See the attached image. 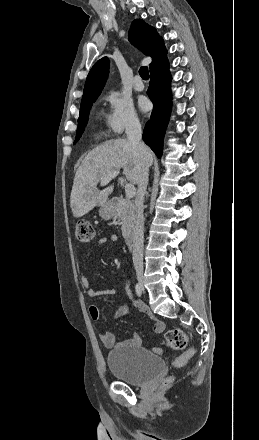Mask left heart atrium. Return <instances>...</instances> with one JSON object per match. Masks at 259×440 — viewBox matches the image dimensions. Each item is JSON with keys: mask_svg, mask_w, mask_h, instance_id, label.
<instances>
[{"mask_svg": "<svg viewBox=\"0 0 259 440\" xmlns=\"http://www.w3.org/2000/svg\"><path fill=\"white\" fill-rule=\"evenodd\" d=\"M139 107H140L141 110L147 111L149 109V107H150V104H149V102L145 98H141L139 100Z\"/></svg>", "mask_w": 259, "mask_h": 440, "instance_id": "obj_1", "label": "left heart atrium"}]
</instances>
